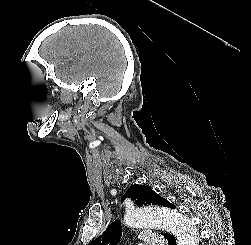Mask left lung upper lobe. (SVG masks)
I'll return each instance as SVG.
<instances>
[{
    "label": "left lung upper lobe",
    "instance_id": "obj_1",
    "mask_svg": "<svg viewBox=\"0 0 251 245\" xmlns=\"http://www.w3.org/2000/svg\"><path fill=\"white\" fill-rule=\"evenodd\" d=\"M125 198H130L138 206L159 205L175 209V205L161 197L150 187L145 185H133L122 197L121 203ZM121 224L119 221L113 222L104 233L92 241L89 245H117L121 238Z\"/></svg>",
    "mask_w": 251,
    "mask_h": 245
}]
</instances>
